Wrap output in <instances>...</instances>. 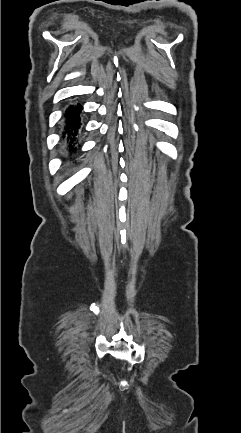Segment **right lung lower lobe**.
Returning <instances> with one entry per match:
<instances>
[{"instance_id":"right-lung-lower-lobe-1","label":"right lung lower lobe","mask_w":241,"mask_h":433,"mask_svg":"<svg viewBox=\"0 0 241 433\" xmlns=\"http://www.w3.org/2000/svg\"><path fill=\"white\" fill-rule=\"evenodd\" d=\"M83 107L78 103L70 105L64 115L62 138L70 153H74L79 146V137L83 132V121L80 117Z\"/></svg>"}]
</instances>
